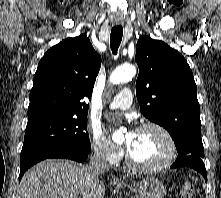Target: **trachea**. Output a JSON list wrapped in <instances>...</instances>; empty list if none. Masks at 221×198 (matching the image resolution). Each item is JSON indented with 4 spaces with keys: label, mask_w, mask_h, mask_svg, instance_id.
Listing matches in <instances>:
<instances>
[{
    "label": "trachea",
    "mask_w": 221,
    "mask_h": 198,
    "mask_svg": "<svg viewBox=\"0 0 221 198\" xmlns=\"http://www.w3.org/2000/svg\"><path fill=\"white\" fill-rule=\"evenodd\" d=\"M123 36V28L120 26L113 27L110 34V47L114 55L117 54Z\"/></svg>",
    "instance_id": "3493384b"
}]
</instances>
